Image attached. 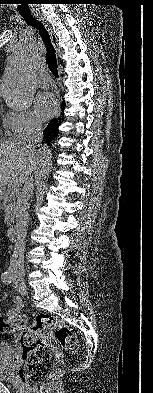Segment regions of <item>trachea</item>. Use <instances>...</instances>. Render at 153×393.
Instances as JSON below:
<instances>
[{
  "instance_id": "1",
  "label": "trachea",
  "mask_w": 153,
  "mask_h": 393,
  "mask_svg": "<svg viewBox=\"0 0 153 393\" xmlns=\"http://www.w3.org/2000/svg\"><path fill=\"white\" fill-rule=\"evenodd\" d=\"M25 22L34 28H36L40 36L42 37L44 44L46 46V62L49 67V70L52 72V74L58 78V64H57V58H56V51L54 46L51 43V39L49 36V33L47 29L44 27V25L34 18L30 13L29 14H21Z\"/></svg>"
}]
</instances>
